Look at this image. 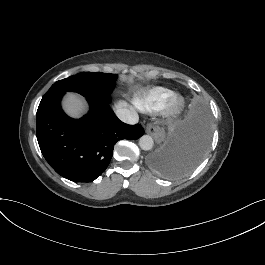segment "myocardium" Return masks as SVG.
<instances>
[{
  "instance_id": "myocardium-1",
  "label": "myocardium",
  "mask_w": 265,
  "mask_h": 265,
  "mask_svg": "<svg viewBox=\"0 0 265 265\" xmlns=\"http://www.w3.org/2000/svg\"><path fill=\"white\" fill-rule=\"evenodd\" d=\"M181 107H182V102L179 101V100H175V101L173 102V104H172V107H171V109H170L169 114H170V115H175V114H177V113L179 112V110L181 109Z\"/></svg>"
}]
</instances>
